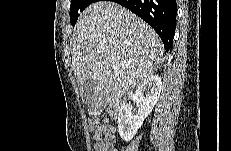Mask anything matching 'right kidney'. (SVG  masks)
<instances>
[{
	"label": "right kidney",
	"mask_w": 231,
	"mask_h": 151,
	"mask_svg": "<svg viewBox=\"0 0 231 151\" xmlns=\"http://www.w3.org/2000/svg\"><path fill=\"white\" fill-rule=\"evenodd\" d=\"M161 89V78L152 75L137 86L132 96L139 107L137 115H133L130 104L126 102L121 104L118 113V131L123 140L130 141L135 136L145 118L152 112L159 99Z\"/></svg>",
	"instance_id": "obj_1"
}]
</instances>
